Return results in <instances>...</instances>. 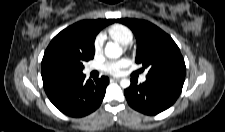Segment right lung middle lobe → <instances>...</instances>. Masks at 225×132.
Wrapping results in <instances>:
<instances>
[{"label": "right lung middle lobe", "mask_w": 225, "mask_h": 132, "mask_svg": "<svg viewBox=\"0 0 225 132\" xmlns=\"http://www.w3.org/2000/svg\"><path fill=\"white\" fill-rule=\"evenodd\" d=\"M94 44L80 37L56 35L47 47L41 65L42 73L56 77H71L82 73L83 62L93 59Z\"/></svg>", "instance_id": "1"}]
</instances>
